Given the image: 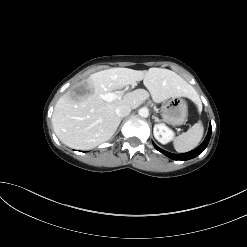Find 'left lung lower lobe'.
<instances>
[{
  "mask_svg": "<svg viewBox=\"0 0 247 247\" xmlns=\"http://www.w3.org/2000/svg\"><path fill=\"white\" fill-rule=\"evenodd\" d=\"M211 132H212V127H211V123H210L208 134H207L204 142L199 147L194 149L193 151L183 153V154H173V153L167 152L165 150H162L161 148H159L154 143H153V145L158 151H160L164 155L168 156L169 158L174 159V160H184L185 161V160L195 158L207 147L209 140H210V137H211Z\"/></svg>",
  "mask_w": 247,
  "mask_h": 247,
  "instance_id": "0a47b994",
  "label": "left lung lower lobe"
}]
</instances>
